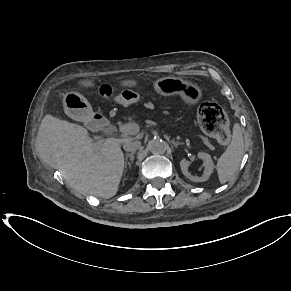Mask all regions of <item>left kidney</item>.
Returning <instances> with one entry per match:
<instances>
[{"label":"left kidney","mask_w":291,"mask_h":291,"mask_svg":"<svg viewBox=\"0 0 291 291\" xmlns=\"http://www.w3.org/2000/svg\"><path fill=\"white\" fill-rule=\"evenodd\" d=\"M197 157L201 160H203V165H204V174L201 177L193 176L189 173L188 167L190 165V161L186 159H182L180 161V168L184 176H186L188 179L194 182H204L207 181L210 177V175L213 172L214 169V163L211 159V156L207 153L204 152H199L197 154Z\"/></svg>","instance_id":"5707ae66"}]
</instances>
